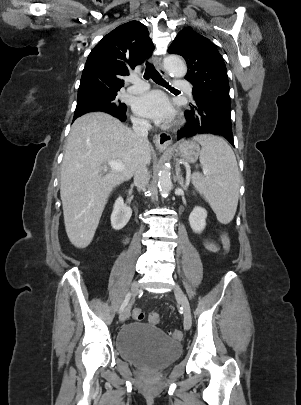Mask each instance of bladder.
Instances as JSON below:
<instances>
[{"label": "bladder", "mask_w": 301, "mask_h": 405, "mask_svg": "<svg viewBox=\"0 0 301 405\" xmlns=\"http://www.w3.org/2000/svg\"><path fill=\"white\" fill-rule=\"evenodd\" d=\"M115 348L121 358L138 366L161 369L173 362L181 352V345L161 329L133 322L118 332Z\"/></svg>", "instance_id": "31cf9c89"}]
</instances>
